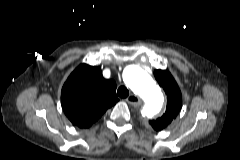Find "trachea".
Segmentation results:
<instances>
[{"label": "trachea", "instance_id": "3493384b", "mask_svg": "<svg viewBox=\"0 0 240 160\" xmlns=\"http://www.w3.org/2000/svg\"><path fill=\"white\" fill-rule=\"evenodd\" d=\"M120 98H126L129 94L128 89L125 86H120L117 91Z\"/></svg>", "mask_w": 240, "mask_h": 160}]
</instances>
